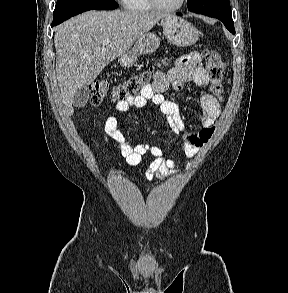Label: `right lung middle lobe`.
Instances as JSON below:
<instances>
[{
  "label": "right lung middle lobe",
  "mask_w": 288,
  "mask_h": 293,
  "mask_svg": "<svg viewBox=\"0 0 288 293\" xmlns=\"http://www.w3.org/2000/svg\"><path fill=\"white\" fill-rule=\"evenodd\" d=\"M117 7L115 0H57L52 23L60 24L88 10H110Z\"/></svg>",
  "instance_id": "right-lung-middle-lobe-1"
}]
</instances>
